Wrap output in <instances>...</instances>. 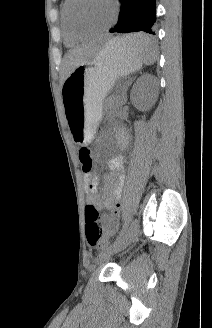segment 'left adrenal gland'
<instances>
[{"mask_svg": "<svg viewBox=\"0 0 212 328\" xmlns=\"http://www.w3.org/2000/svg\"><path fill=\"white\" fill-rule=\"evenodd\" d=\"M132 78L129 79L127 82H125V85H124V90H123V98H124V103H126L127 101V90H128V87L131 85V82H132Z\"/></svg>", "mask_w": 212, "mask_h": 328, "instance_id": "left-adrenal-gland-1", "label": "left adrenal gland"}]
</instances>
